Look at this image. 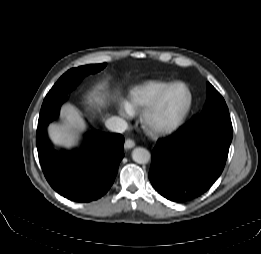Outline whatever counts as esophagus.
I'll use <instances>...</instances> for the list:
<instances>
[{"label": "esophagus", "instance_id": "1", "mask_svg": "<svg viewBox=\"0 0 261 254\" xmlns=\"http://www.w3.org/2000/svg\"><path fill=\"white\" fill-rule=\"evenodd\" d=\"M135 146V142L131 139H127L124 143V148L125 149H131Z\"/></svg>", "mask_w": 261, "mask_h": 254}]
</instances>
